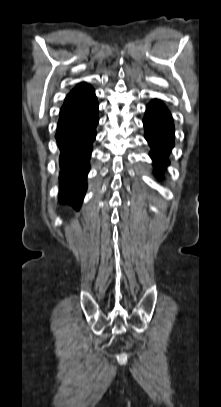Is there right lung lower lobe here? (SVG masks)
Instances as JSON below:
<instances>
[{
	"instance_id": "obj_1",
	"label": "right lung lower lobe",
	"mask_w": 221,
	"mask_h": 407,
	"mask_svg": "<svg viewBox=\"0 0 221 407\" xmlns=\"http://www.w3.org/2000/svg\"><path fill=\"white\" fill-rule=\"evenodd\" d=\"M98 120V102L91 86L67 95L55 135L61 151L59 201L76 210L80 208L87 188L89 159Z\"/></svg>"
}]
</instances>
